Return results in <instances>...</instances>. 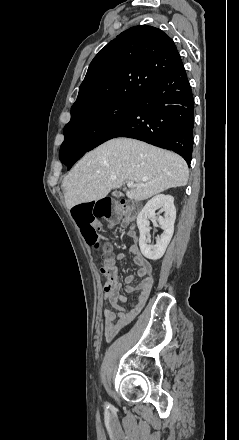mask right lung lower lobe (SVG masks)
Here are the masks:
<instances>
[{
    "mask_svg": "<svg viewBox=\"0 0 239 440\" xmlns=\"http://www.w3.org/2000/svg\"><path fill=\"white\" fill-rule=\"evenodd\" d=\"M193 126L194 100L180 60L170 73L136 99L123 118L103 131L87 149L66 148L59 157L69 170L87 151L103 142L128 137L172 150L190 166Z\"/></svg>",
    "mask_w": 239,
    "mask_h": 440,
    "instance_id": "98d812e1",
    "label": "right lung lower lobe"
}]
</instances>
